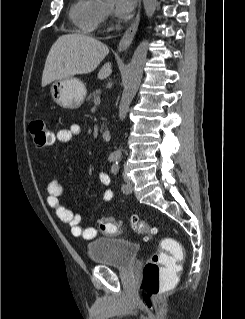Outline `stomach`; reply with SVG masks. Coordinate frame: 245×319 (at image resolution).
Segmentation results:
<instances>
[{"label": "stomach", "mask_w": 245, "mask_h": 319, "mask_svg": "<svg viewBox=\"0 0 245 319\" xmlns=\"http://www.w3.org/2000/svg\"><path fill=\"white\" fill-rule=\"evenodd\" d=\"M50 93L55 103L63 108H79L86 97L85 84L78 78H66L53 82Z\"/></svg>", "instance_id": "obj_1"}]
</instances>
